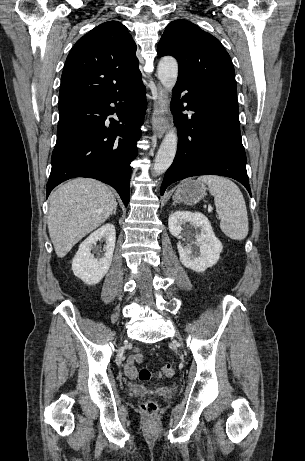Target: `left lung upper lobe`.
Segmentation results:
<instances>
[{
    "mask_svg": "<svg viewBox=\"0 0 305 461\" xmlns=\"http://www.w3.org/2000/svg\"><path fill=\"white\" fill-rule=\"evenodd\" d=\"M158 54L177 59L178 81L187 84L225 82L236 86L233 63L223 45L192 22L169 23L159 42Z\"/></svg>",
    "mask_w": 305,
    "mask_h": 461,
    "instance_id": "obj_1",
    "label": "left lung upper lobe"
}]
</instances>
